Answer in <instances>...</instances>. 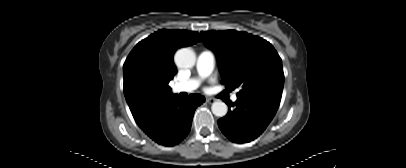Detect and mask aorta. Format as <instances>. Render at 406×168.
Instances as JSON below:
<instances>
[{
	"instance_id": "1",
	"label": "aorta",
	"mask_w": 406,
	"mask_h": 168,
	"mask_svg": "<svg viewBox=\"0 0 406 168\" xmlns=\"http://www.w3.org/2000/svg\"><path fill=\"white\" fill-rule=\"evenodd\" d=\"M174 60L180 68H192L196 62V55L190 48H181L176 52ZM211 110L215 116L223 117L227 114L228 107L223 101L217 100L213 102Z\"/></svg>"
}]
</instances>
